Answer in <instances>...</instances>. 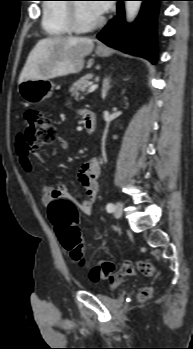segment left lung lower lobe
<instances>
[{"label":"left lung lower lobe","instance_id":"left-lung-lower-lobe-1","mask_svg":"<svg viewBox=\"0 0 193 349\" xmlns=\"http://www.w3.org/2000/svg\"><path fill=\"white\" fill-rule=\"evenodd\" d=\"M117 1V16L98 34V39L109 47L156 63V18L159 2L164 0H140L143 2L140 14L131 25L124 20L125 0Z\"/></svg>","mask_w":193,"mask_h":349}]
</instances>
